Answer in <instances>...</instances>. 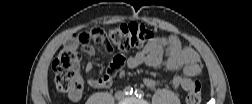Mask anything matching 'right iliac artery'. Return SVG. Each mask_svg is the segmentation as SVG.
<instances>
[{"mask_svg": "<svg viewBox=\"0 0 252 104\" xmlns=\"http://www.w3.org/2000/svg\"><path fill=\"white\" fill-rule=\"evenodd\" d=\"M124 93H125L126 95H132V93H133V88L130 87V86H127V87L124 89Z\"/></svg>", "mask_w": 252, "mask_h": 104, "instance_id": "obj_1", "label": "right iliac artery"}]
</instances>
